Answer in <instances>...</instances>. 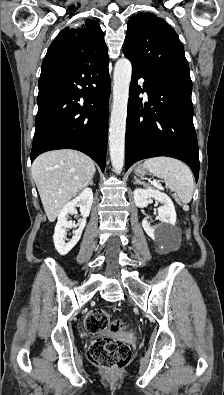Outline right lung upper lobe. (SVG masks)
<instances>
[{
  "mask_svg": "<svg viewBox=\"0 0 224 395\" xmlns=\"http://www.w3.org/2000/svg\"><path fill=\"white\" fill-rule=\"evenodd\" d=\"M59 57L79 64L109 61L104 33L99 24L87 19L81 27L63 29L51 43L46 57Z\"/></svg>",
  "mask_w": 224,
  "mask_h": 395,
  "instance_id": "obj_1",
  "label": "right lung upper lobe"
}]
</instances>
